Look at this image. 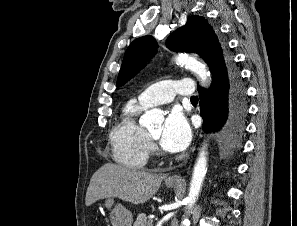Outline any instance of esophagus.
<instances>
[{
    "label": "esophagus",
    "mask_w": 297,
    "mask_h": 226,
    "mask_svg": "<svg viewBox=\"0 0 297 226\" xmlns=\"http://www.w3.org/2000/svg\"><path fill=\"white\" fill-rule=\"evenodd\" d=\"M167 181H169V182H176V181H178V178L176 176H169L167 178Z\"/></svg>",
    "instance_id": "obj_1"
}]
</instances>
